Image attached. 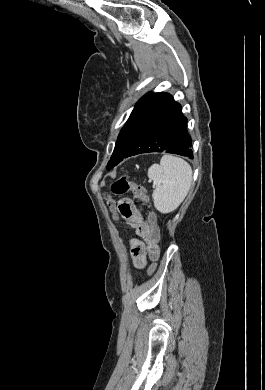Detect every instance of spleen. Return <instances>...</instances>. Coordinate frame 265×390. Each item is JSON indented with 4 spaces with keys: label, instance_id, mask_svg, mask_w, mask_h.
Wrapping results in <instances>:
<instances>
[{
    "label": "spleen",
    "instance_id": "spleen-1",
    "mask_svg": "<svg viewBox=\"0 0 265 390\" xmlns=\"http://www.w3.org/2000/svg\"><path fill=\"white\" fill-rule=\"evenodd\" d=\"M147 174L155 185L152 194L155 208L163 214L176 210L190 189L191 166L179 157L165 154L160 164H153Z\"/></svg>",
    "mask_w": 265,
    "mask_h": 390
}]
</instances>
